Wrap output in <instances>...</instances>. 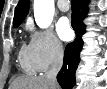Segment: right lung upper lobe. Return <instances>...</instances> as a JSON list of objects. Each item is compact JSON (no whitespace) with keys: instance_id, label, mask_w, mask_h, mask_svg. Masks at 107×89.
I'll return each mask as SVG.
<instances>
[{"instance_id":"right-lung-upper-lobe-1","label":"right lung upper lobe","mask_w":107,"mask_h":89,"mask_svg":"<svg viewBox=\"0 0 107 89\" xmlns=\"http://www.w3.org/2000/svg\"><path fill=\"white\" fill-rule=\"evenodd\" d=\"M29 11V0H19L18 5L15 9V15H14V26H19L22 21L25 19L26 15Z\"/></svg>"}]
</instances>
